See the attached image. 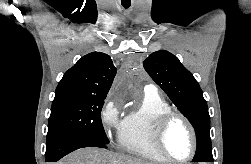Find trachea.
I'll list each match as a JSON object with an SVG mask.
<instances>
[{
	"label": "trachea",
	"instance_id": "1",
	"mask_svg": "<svg viewBox=\"0 0 251 164\" xmlns=\"http://www.w3.org/2000/svg\"><path fill=\"white\" fill-rule=\"evenodd\" d=\"M122 6L127 9L130 7V3L129 4L122 3Z\"/></svg>",
	"mask_w": 251,
	"mask_h": 164
}]
</instances>
